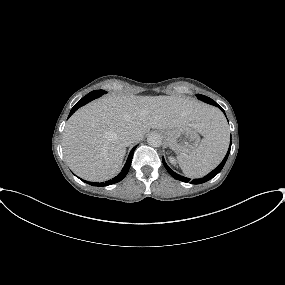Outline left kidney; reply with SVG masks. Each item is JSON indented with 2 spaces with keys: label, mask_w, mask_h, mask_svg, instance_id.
<instances>
[{
  "label": "left kidney",
  "mask_w": 285,
  "mask_h": 285,
  "mask_svg": "<svg viewBox=\"0 0 285 285\" xmlns=\"http://www.w3.org/2000/svg\"><path fill=\"white\" fill-rule=\"evenodd\" d=\"M168 159H169V162H170L172 165H175V164H176L175 159H174L173 157L170 156Z\"/></svg>",
  "instance_id": "5707ae66"
}]
</instances>
